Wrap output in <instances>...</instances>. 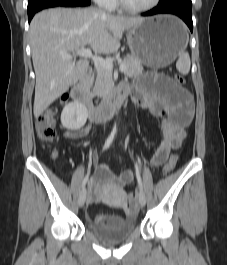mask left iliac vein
Listing matches in <instances>:
<instances>
[{
    "mask_svg": "<svg viewBox=\"0 0 227 265\" xmlns=\"http://www.w3.org/2000/svg\"><path fill=\"white\" fill-rule=\"evenodd\" d=\"M138 201H139V204L140 206H145L146 204V196L144 194V192L142 190L139 191V194H138Z\"/></svg>",
    "mask_w": 227,
    "mask_h": 265,
    "instance_id": "obj_1",
    "label": "left iliac vein"
}]
</instances>
